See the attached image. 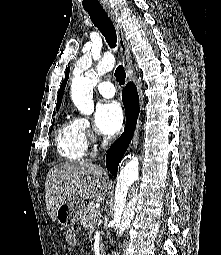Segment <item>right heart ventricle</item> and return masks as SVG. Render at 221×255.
Here are the masks:
<instances>
[{
    "label": "right heart ventricle",
    "instance_id": "obj_1",
    "mask_svg": "<svg viewBox=\"0 0 221 255\" xmlns=\"http://www.w3.org/2000/svg\"><path fill=\"white\" fill-rule=\"evenodd\" d=\"M56 147L59 155L66 160H80L87 153V139L79 119L67 118L58 128Z\"/></svg>",
    "mask_w": 221,
    "mask_h": 255
}]
</instances>
